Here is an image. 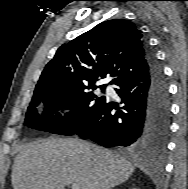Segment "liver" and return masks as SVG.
Returning <instances> with one entry per match:
<instances>
[{
  "label": "liver",
  "mask_w": 188,
  "mask_h": 189,
  "mask_svg": "<svg viewBox=\"0 0 188 189\" xmlns=\"http://www.w3.org/2000/svg\"><path fill=\"white\" fill-rule=\"evenodd\" d=\"M131 162L117 153L73 138L40 139L24 145L14 159V189H111L134 172Z\"/></svg>",
  "instance_id": "6515ba94"
}]
</instances>
